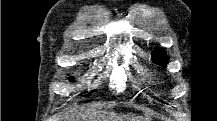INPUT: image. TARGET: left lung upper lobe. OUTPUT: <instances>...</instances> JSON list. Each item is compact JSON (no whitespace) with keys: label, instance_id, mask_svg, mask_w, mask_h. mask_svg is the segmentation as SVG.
I'll list each match as a JSON object with an SVG mask.
<instances>
[{"label":"left lung upper lobe","instance_id":"obj_1","mask_svg":"<svg viewBox=\"0 0 217 121\" xmlns=\"http://www.w3.org/2000/svg\"><path fill=\"white\" fill-rule=\"evenodd\" d=\"M153 55V61L157 64L163 65L166 67V64L168 62V57L163 49H156L152 53Z\"/></svg>","mask_w":217,"mask_h":121}]
</instances>
